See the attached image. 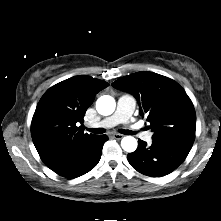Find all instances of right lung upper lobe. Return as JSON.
Listing matches in <instances>:
<instances>
[{"mask_svg": "<svg viewBox=\"0 0 221 221\" xmlns=\"http://www.w3.org/2000/svg\"><path fill=\"white\" fill-rule=\"evenodd\" d=\"M108 83L79 75L51 88L40 99L32 123L33 143L42 161L54 172L70 163L97 137L79 124L96 94Z\"/></svg>", "mask_w": 221, "mask_h": 221, "instance_id": "cb5924a9", "label": "right lung upper lobe"}]
</instances>
